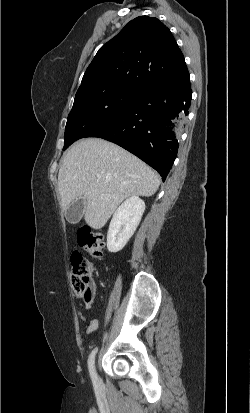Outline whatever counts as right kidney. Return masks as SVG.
<instances>
[{
    "label": "right kidney",
    "mask_w": 250,
    "mask_h": 413,
    "mask_svg": "<svg viewBox=\"0 0 250 413\" xmlns=\"http://www.w3.org/2000/svg\"><path fill=\"white\" fill-rule=\"evenodd\" d=\"M145 203L138 196L127 198L115 211L107 233V248L116 253L123 249L140 223Z\"/></svg>",
    "instance_id": "obj_1"
}]
</instances>
